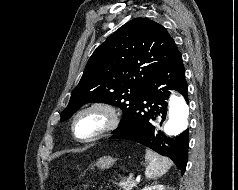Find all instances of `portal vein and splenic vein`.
I'll use <instances>...</instances> for the list:
<instances>
[{
	"instance_id": "18ae733b",
	"label": "portal vein and splenic vein",
	"mask_w": 238,
	"mask_h": 190,
	"mask_svg": "<svg viewBox=\"0 0 238 190\" xmlns=\"http://www.w3.org/2000/svg\"><path fill=\"white\" fill-rule=\"evenodd\" d=\"M130 177H133V174H130ZM137 181H139V179H137Z\"/></svg>"
}]
</instances>
